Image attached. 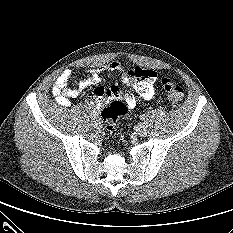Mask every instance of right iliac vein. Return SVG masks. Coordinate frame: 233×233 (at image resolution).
Instances as JSON below:
<instances>
[{"instance_id":"63e3f726","label":"right iliac vein","mask_w":233,"mask_h":233,"mask_svg":"<svg viewBox=\"0 0 233 233\" xmlns=\"http://www.w3.org/2000/svg\"><path fill=\"white\" fill-rule=\"evenodd\" d=\"M93 123H94L95 128H97V129L100 128L101 122H100V120H99L98 118H95V119L93 120Z\"/></svg>"}]
</instances>
